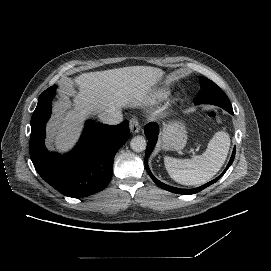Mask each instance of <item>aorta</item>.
Here are the masks:
<instances>
[{
    "label": "aorta",
    "mask_w": 271,
    "mask_h": 271,
    "mask_svg": "<svg viewBox=\"0 0 271 271\" xmlns=\"http://www.w3.org/2000/svg\"><path fill=\"white\" fill-rule=\"evenodd\" d=\"M130 147L134 152L140 153L146 150V139L142 136H137L132 139Z\"/></svg>",
    "instance_id": "aorta-1"
}]
</instances>
